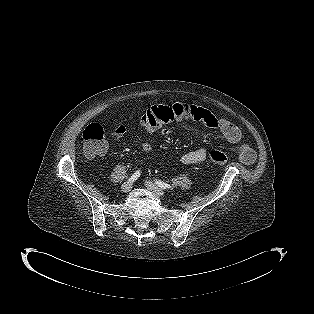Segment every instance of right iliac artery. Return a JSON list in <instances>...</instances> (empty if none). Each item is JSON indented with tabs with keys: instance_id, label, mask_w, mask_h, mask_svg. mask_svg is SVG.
<instances>
[{
	"instance_id": "right-iliac-artery-1",
	"label": "right iliac artery",
	"mask_w": 314,
	"mask_h": 314,
	"mask_svg": "<svg viewBox=\"0 0 314 314\" xmlns=\"http://www.w3.org/2000/svg\"><path fill=\"white\" fill-rule=\"evenodd\" d=\"M140 176V171H136L130 178H129V181L130 182H133L135 180H137V178Z\"/></svg>"
}]
</instances>
